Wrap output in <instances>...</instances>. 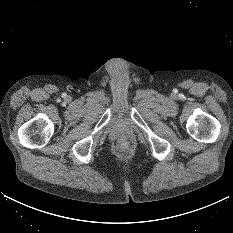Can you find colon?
I'll return each instance as SVG.
<instances>
[{"mask_svg":"<svg viewBox=\"0 0 233 233\" xmlns=\"http://www.w3.org/2000/svg\"><path fill=\"white\" fill-rule=\"evenodd\" d=\"M118 148H119L120 150H127V145H126L125 143H120V144L118 145Z\"/></svg>","mask_w":233,"mask_h":233,"instance_id":"5ec220e1","label":"colon"}]
</instances>
